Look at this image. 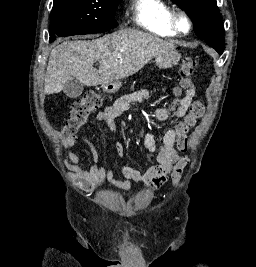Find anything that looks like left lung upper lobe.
Instances as JSON below:
<instances>
[{"instance_id":"left-lung-upper-lobe-1","label":"left lung upper lobe","mask_w":256,"mask_h":267,"mask_svg":"<svg viewBox=\"0 0 256 267\" xmlns=\"http://www.w3.org/2000/svg\"><path fill=\"white\" fill-rule=\"evenodd\" d=\"M192 19L197 36L219 54L224 51V29L216 0H172Z\"/></svg>"}]
</instances>
